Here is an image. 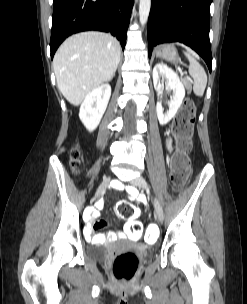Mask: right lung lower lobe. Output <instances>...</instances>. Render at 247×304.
Masks as SVG:
<instances>
[{
	"instance_id": "1",
	"label": "right lung lower lobe",
	"mask_w": 247,
	"mask_h": 304,
	"mask_svg": "<svg viewBox=\"0 0 247 304\" xmlns=\"http://www.w3.org/2000/svg\"><path fill=\"white\" fill-rule=\"evenodd\" d=\"M134 0H53L51 58L71 34L99 30L116 36L124 49Z\"/></svg>"
}]
</instances>
